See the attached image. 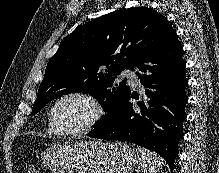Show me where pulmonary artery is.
<instances>
[{"mask_svg": "<svg viewBox=\"0 0 219 173\" xmlns=\"http://www.w3.org/2000/svg\"><path fill=\"white\" fill-rule=\"evenodd\" d=\"M120 76L122 79H127L133 85H135V86L138 85V78L133 71L126 69V70L122 71Z\"/></svg>", "mask_w": 219, "mask_h": 173, "instance_id": "pulmonary-artery-1", "label": "pulmonary artery"}]
</instances>
